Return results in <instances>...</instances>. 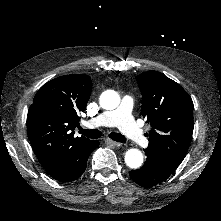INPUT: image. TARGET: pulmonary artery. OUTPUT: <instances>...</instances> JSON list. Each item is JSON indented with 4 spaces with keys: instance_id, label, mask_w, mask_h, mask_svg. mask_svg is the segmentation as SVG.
I'll use <instances>...</instances> for the list:
<instances>
[{
    "instance_id": "e3ab8cb5",
    "label": "pulmonary artery",
    "mask_w": 221,
    "mask_h": 221,
    "mask_svg": "<svg viewBox=\"0 0 221 221\" xmlns=\"http://www.w3.org/2000/svg\"><path fill=\"white\" fill-rule=\"evenodd\" d=\"M136 107V100L132 96H125L121 100V107L111 108L103 112H94L89 117V124L93 128L113 126L120 123V129L127 138H134L138 134L136 122L131 118V111Z\"/></svg>"
}]
</instances>
